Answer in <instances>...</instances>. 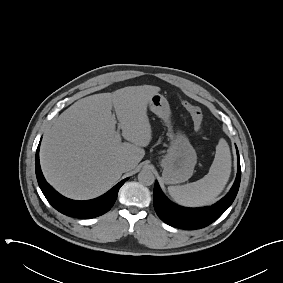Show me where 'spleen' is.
I'll list each match as a JSON object with an SVG mask.
<instances>
[{
    "label": "spleen",
    "instance_id": "3e777b00",
    "mask_svg": "<svg viewBox=\"0 0 283 283\" xmlns=\"http://www.w3.org/2000/svg\"><path fill=\"white\" fill-rule=\"evenodd\" d=\"M231 173V154L227 142L222 138L216 146L214 161L202 179L182 186H169L170 196L180 205L200 207L216 202L225 188Z\"/></svg>",
    "mask_w": 283,
    "mask_h": 283
}]
</instances>
